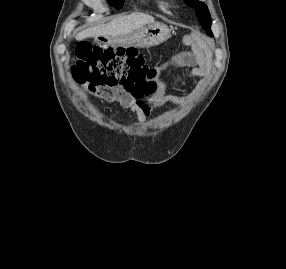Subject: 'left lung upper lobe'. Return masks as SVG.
<instances>
[{
  "label": "left lung upper lobe",
  "instance_id": "5c2ea615",
  "mask_svg": "<svg viewBox=\"0 0 286 269\" xmlns=\"http://www.w3.org/2000/svg\"><path fill=\"white\" fill-rule=\"evenodd\" d=\"M186 3L192 7L196 8V15L199 21L203 24V28L206 30L207 34L213 36L212 31L210 30L211 27V17L207 6L200 2L199 0H185Z\"/></svg>",
  "mask_w": 286,
  "mask_h": 269
}]
</instances>
